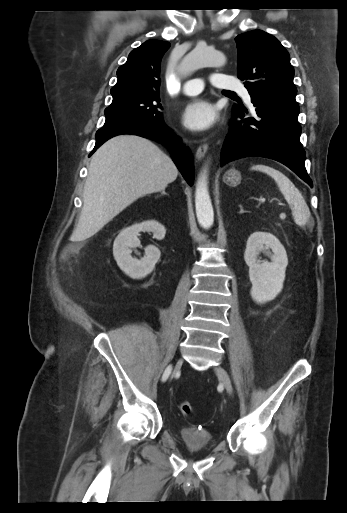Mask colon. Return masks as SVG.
<instances>
[{
  "instance_id": "colon-1",
  "label": "colon",
  "mask_w": 347,
  "mask_h": 513,
  "mask_svg": "<svg viewBox=\"0 0 347 513\" xmlns=\"http://www.w3.org/2000/svg\"><path fill=\"white\" fill-rule=\"evenodd\" d=\"M179 409L185 417H192L194 414L193 406L188 401H181L179 403Z\"/></svg>"
}]
</instances>
